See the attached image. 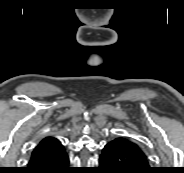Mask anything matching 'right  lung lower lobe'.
<instances>
[{
    "label": "right lung lower lobe",
    "instance_id": "obj_1",
    "mask_svg": "<svg viewBox=\"0 0 184 173\" xmlns=\"http://www.w3.org/2000/svg\"><path fill=\"white\" fill-rule=\"evenodd\" d=\"M24 173H73L69 158L63 146L42 155H33Z\"/></svg>",
    "mask_w": 184,
    "mask_h": 173
}]
</instances>
